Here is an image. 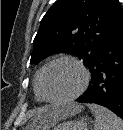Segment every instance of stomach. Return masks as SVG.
<instances>
[{
	"label": "stomach",
	"mask_w": 123,
	"mask_h": 130,
	"mask_svg": "<svg viewBox=\"0 0 123 130\" xmlns=\"http://www.w3.org/2000/svg\"><path fill=\"white\" fill-rule=\"evenodd\" d=\"M28 130H33L29 128ZM53 130H88L86 119L65 121L53 127Z\"/></svg>",
	"instance_id": "0dacf381"
}]
</instances>
